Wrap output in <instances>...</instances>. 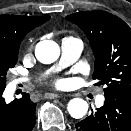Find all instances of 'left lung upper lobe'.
Segmentation results:
<instances>
[{
	"label": "left lung upper lobe",
	"instance_id": "1",
	"mask_svg": "<svg viewBox=\"0 0 131 131\" xmlns=\"http://www.w3.org/2000/svg\"><path fill=\"white\" fill-rule=\"evenodd\" d=\"M66 19L88 37L95 56L92 78L106 85L104 95L131 102V28L100 10L74 13Z\"/></svg>",
	"mask_w": 131,
	"mask_h": 131
}]
</instances>
